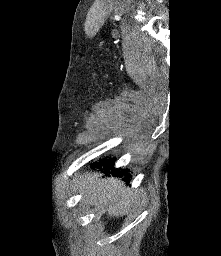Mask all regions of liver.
Listing matches in <instances>:
<instances>
[{"mask_svg": "<svg viewBox=\"0 0 221 256\" xmlns=\"http://www.w3.org/2000/svg\"><path fill=\"white\" fill-rule=\"evenodd\" d=\"M77 190L85 192L88 203L101 211H107L109 216H124L130 210L131 191L114 177L102 178L98 172L89 173L82 178Z\"/></svg>", "mask_w": 221, "mask_h": 256, "instance_id": "1", "label": "liver"}]
</instances>
